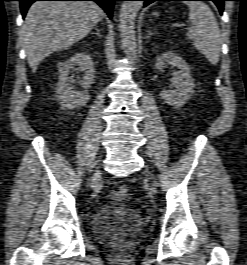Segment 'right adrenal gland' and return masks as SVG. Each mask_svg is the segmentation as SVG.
Instances as JSON below:
<instances>
[{
    "mask_svg": "<svg viewBox=\"0 0 247 265\" xmlns=\"http://www.w3.org/2000/svg\"><path fill=\"white\" fill-rule=\"evenodd\" d=\"M98 37H101L100 31L98 29V26L95 27V33Z\"/></svg>",
    "mask_w": 247,
    "mask_h": 265,
    "instance_id": "2a0ac1e0",
    "label": "right adrenal gland"
}]
</instances>
